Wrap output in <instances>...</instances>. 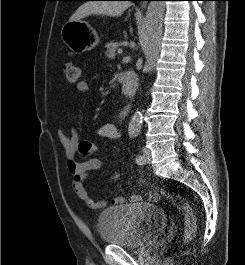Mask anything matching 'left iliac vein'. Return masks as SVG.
Returning a JSON list of instances; mask_svg holds the SVG:
<instances>
[{
  "label": "left iliac vein",
  "mask_w": 245,
  "mask_h": 265,
  "mask_svg": "<svg viewBox=\"0 0 245 265\" xmlns=\"http://www.w3.org/2000/svg\"><path fill=\"white\" fill-rule=\"evenodd\" d=\"M151 160V151L144 147L143 148V163L146 164V163H149Z\"/></svg>",
  "instance_id": "4c4485c4"
}]
</instances>
